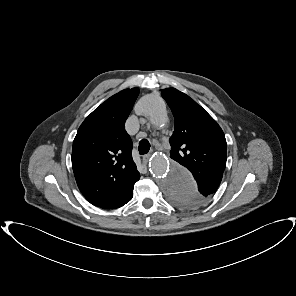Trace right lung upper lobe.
Returning a JSON list of instances; mask_svg holds the SVG:
<instances>
[{
    "instance_id": "right-lung-upper-lobe-1",
    "label": "right lung upper lobe",
    "mask_w": 296,
    "mask_h": 296,
    "mask_svg": "<svg viewBox=\"0 0 296 296\" xmlns=\"http://www.w3.org/2000/svg\"><path fill=\"white\" fill-rule=\"evenodd\" d=\"M138 94L132 88L111 96L84 120L74 139L72 168L78 188L97 207L128 203L140 178L124 126Z\"/></svg>"
}]
</instances>
